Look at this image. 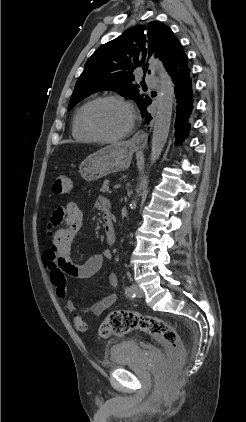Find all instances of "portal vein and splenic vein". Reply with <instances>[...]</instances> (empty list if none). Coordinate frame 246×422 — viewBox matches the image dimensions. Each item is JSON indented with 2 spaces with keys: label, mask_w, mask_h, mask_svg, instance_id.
Segmentation results:
<instances>
[{
  "label": "portal vein and splenic vein",
  "mask_w": 246,
  "mask_h": 422,
  "mask_svg": "<svg viewBox=\"0 0 246 422\" xmlns=\"http://www.w3.org/2000/svg\"><path fill=\"white\" fill-rule=\"evenodd\" d=\"M121 187V185H115L114 186V189H118V188H120Z\"/></svg>",
  "instance_id": "1"
}]
</instances>
